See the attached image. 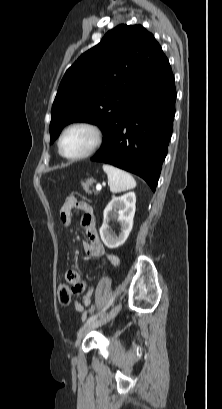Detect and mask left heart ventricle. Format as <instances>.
<instances>
[{
	"mask_svg": "<svg viewBox=\"0 0 222 409\" xmlns=\"http://www.w3.org/2000/svg\"><path fill=\"white\" fill-rule=\"evenodd\" d=\"M93 141L94 135L89 129H72L63 138V153L68 156H76L82 154L91 147Z\"/></svg>",
	"mask_w": 222,
	"mask_h": 409,
	"instance_id": "1",
	"label": "left heart ventricle"
}]
</instances>
